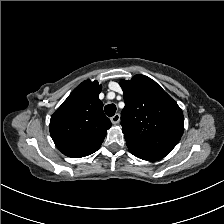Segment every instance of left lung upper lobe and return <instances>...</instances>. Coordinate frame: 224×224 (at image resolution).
<instances>
[{"label":"left lung upper lobe","instance_id":"1","mask_svg":"<svg viewBox=\"0 0 224 224\" xmlns=\"http://www.w3.org/2000/svg\"><path fill=\"white\" fill-rule=\"evenodd\" d=\"M121 125L128 147L166 156L179 142L184 118L178 104L152 79L122 80Z\"/></svg>","mask_w":224,"mask_h":224}]
</instances>
